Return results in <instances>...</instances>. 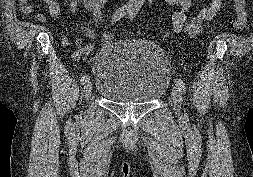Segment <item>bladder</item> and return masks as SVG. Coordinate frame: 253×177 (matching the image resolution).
<instances>
[{"mask_svg": "<svg viewBox=\"0 0 253 177\" xmlns=\"http://www.w3.org/2000/svg\"><path fill=\"white\" fill-rule=\"evenodd\" d=\"M92 71L96 92L114 103H152L169 81L167 57L151 43H108L96 55Z\"/></svg>", "mask_w": 253, "mask_h": 177, "instance_id": "31cf9c89", "label": "bladder"}]
</instances>
